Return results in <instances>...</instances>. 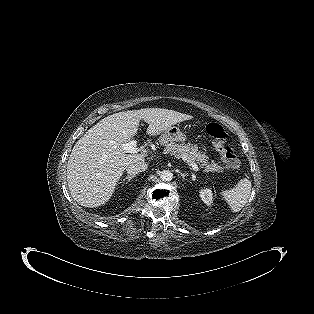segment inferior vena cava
Returning <instances> with one entry per match:
<instances>
[{
	"instance_id": "inferior-vena-cava-1",
	"label": "inferior vena cava",
	"mask_w": 314,
	"mask_h": 314,
	"mask_svg": "<svg viewBox=\"0 0 314 314\" xmlns=\"http://www.w3.org/2000/svg\"><path fill=\"white\" fill-rule=\"evenodd\" d=\"M147 169V164L145 161H137V162H133L130 163L127 167H126V171L128 174L130 175H135L138 174L140 172H143Z\"/></svg>"
}]
</instances>
